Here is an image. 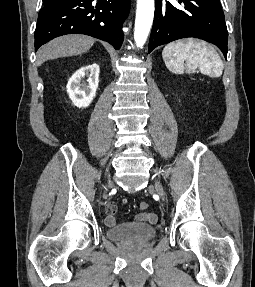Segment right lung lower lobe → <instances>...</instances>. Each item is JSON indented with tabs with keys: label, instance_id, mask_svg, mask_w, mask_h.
Instances as JSON below:
<instances>
[{
	"label": "right lung lower lobe",
	"instance_id": "1",
	"mask_svg": "<svg viewBox=\"0 0 255 287\" xmlns=\"http://www.w3.org/2000/svg\"><path fill=\"white\" fill-rule=\"evenodd\" d=\"M130 0H51L40 10L35 30V51L55 37L80 33L109 42L123 43L122 24Z\"/></svg>",
	"mask_w": 255,
	"mask_h": 287
}]
</instances>
